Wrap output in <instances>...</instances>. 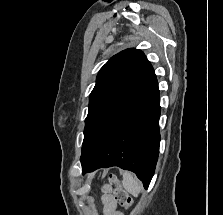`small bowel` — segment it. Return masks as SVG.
<instances>
[{"label": "small bowel", "mask_w": 223, "mask_h": 215, "mask_svg": "<svg viewBox=\"0 0 223 215\" xmlns=\"http://www.w3.org/2000/svg\"><path fill=\"white\" fill-rule=\"evenodd\" d=\"M106 194L103 197V203L105 206V210L109 213V215H123L122 213L116 211V203L114 202L112 196L109 194V188H105Z\"/></svg>", "instance_id": "c3829d8e"}]
</instances>
